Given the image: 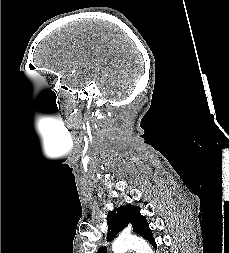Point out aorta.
I'll use <instances>...</instances> for the list:
<instances>
[{"label": "aorta", "mask_w": 229, "mask_h": 253, "mask_svg": "<svg viewBox=\"0 0 229 253\" xmlns=\"http://www.w3.org/2000/svg\"><path fill=\"white\" fill-rule=\"evenodd\" d=\"M129 249L135 250L136 253H154L151 246L138 237L118 238L112 245L113 253H125Z\"/></svg>", "instance_id": "aorta-1"}]
</instances>
